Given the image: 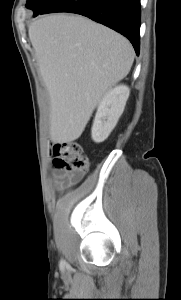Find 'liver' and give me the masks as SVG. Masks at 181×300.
<instances>
[{
  "instance_id": "obj_1",
  "label": "liver",
  "mask_w": 181,
  "mask_h": 300,
  "mask_svg": "<svg viewBox=\"0 0 181 300\" xmlns=\"http://www.w3.org/2000/svg\"><path fill=\"white\" fill-rule=\"evenodd\" d=\"M28 34L50 97V138L72 142L103 96L129 73L133 47L119 33L80 15L40 17Z\"/></svg>"
}]
</instances>
